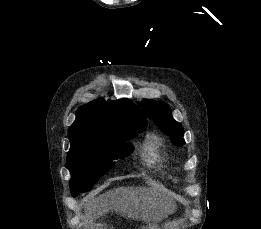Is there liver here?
Here are the masks:
<instances>
[{"mask_svg": "<svg viewBox=\"0 0 261 229\" xmlns=\"http://www.w3.org/2000/svg\"><path fill=\"white\" fill-rule=\"evenodd\" d=\"M95 201H99V199H94V203H95Z\"/></svg>", "mask_w": 261, "mask_h": 229, "instance_id": "liver-1", "label": "liver"}]
</instances>
